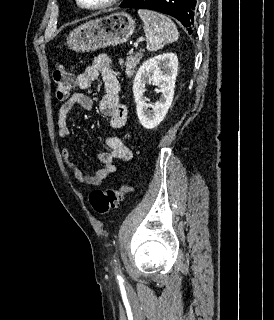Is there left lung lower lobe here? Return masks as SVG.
I'll list each match as a JSON object with an SVG mask.
<instances>
[{
    "instance_id": "obj_1",
    "label": "left lung lower lobe",
    "mask_w": 274,
    "mask_h": 320,
    "mask_svg": "<svg viewBox=\"0 0 274 320\" xmlns=\"http://www.w3.org/2000/svg\"><path fill=\"white\" fill-rule=\"evenodd\" d=\"M120 7L150 9L171 15L187 27L190 34L193 32L196 0H127Z\"/></svg>"
}]
</instances>
